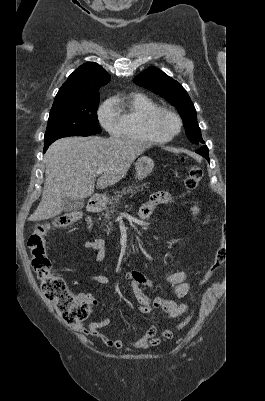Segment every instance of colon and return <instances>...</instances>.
<instances>
[{
    "label": "colon",
    "mask_w": 265,
    "mask_h": 401,
    "mask_svg": "<svg viewBox=\"0 0 265 401\" xmlns=\"http://www.w3.org/2000/svg\"><path fill=\"white\" fill-rule=\"evenodd\" d=\"M202 178V169L193 165L184 179V185L188 190H194ZM81 218L78 211L63 214L50 223H37L34 232L28 239V247L31 251V264L41 282L43 295L55 305L61 319L68 325L78 326L88 317L91 307L86 299L76 296L68 288L65 280L52 273V264L46 253V236L53 228H67ZM226 261V249L220 247L209 269L205 272L203 280L208 279L215 271L220 269ZM189 321L187 316L177 325V329L183 328ZM164 336L170 339L173 332L164 330Z\"/></svg>",
    "instance_id": "obj_1"
}]
</instances>
